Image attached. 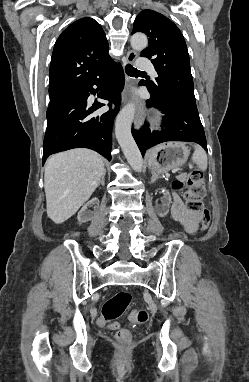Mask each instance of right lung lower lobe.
<instances>
[{
  "mask_svg": "<svg viewBox=\"0 0 249 382\" xmlns=\"http://www.w3.org/2000/svg\"><path fill=\"white\" fill-rule=\"evenodd\" d=\"M101 89L100 98L115 104V108L97 114L105 104L89 103L88 97ZM124 72L112 59L97 70L82 88L59 104L48 108L47 129L43 143V163L54 153L72 148H89L111 160L113 120L120 107Z\"/></svg>",
  "mask_w": 249,
  "mask_h": 382,
  "instance_id": "98d812e1",
  "label": "right lung lower lobe"
}]
</instances>
